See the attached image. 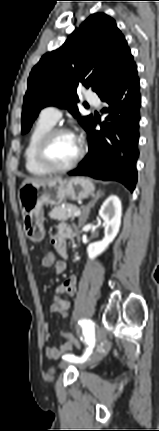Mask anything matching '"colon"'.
Segmentation results:
<instances>
[{"instance_id": "1", "label": "colon", "mask_w": 159, "mask_h": 431, "mask_svg": "<svg viewBox=\"0 0 159 431\" xmlns=\"http://www.w3.org/2000/svg\"><path fill=\"white\" fill-rule=\"evenodd\" d=\"M54 258L55 255L53 253L52 250H47L46 254H45V259L47 262V268H49L50 270H53V266H54ZM70 314L69 310H63L62 311V319H68V315ZM59 336L61 337H67V339L72 343V346L76 347V352H79L81 350L82 347V342L80 341V339L77 338L76 333H74L71 329L68 330H61L59 331Z\"/></svg>"}]
</instances>
